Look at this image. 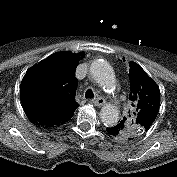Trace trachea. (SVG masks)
I'll return each mask as SVG.
<instances>
[{
  "label": "trachea",
  "instance_id": "obj_1",
  "mask_svg": "<svg viewBox=\"0 0 177 177\" xmlns=\"http://www.w3.org/2000/svg\"><path fill=\"white\" fill-rule=\"evenodd\" d=\"M85 97H86V98H89V99H91V98L94 97V93H93L92 89H88V90L86 91Z\"/></svg>",
  "mask_w": 177,
  "mask_h": 177
}]
</instances>
